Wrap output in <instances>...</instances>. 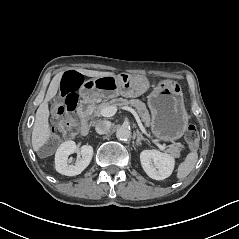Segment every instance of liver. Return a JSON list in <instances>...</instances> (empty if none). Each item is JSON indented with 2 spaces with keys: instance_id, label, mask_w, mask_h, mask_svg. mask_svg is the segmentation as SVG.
Returning a JSON list of instances; mask_svg holds the SVG:
<instances>
[{
  "instance_id": "6515ba94",
  "label": "liver",
  "mask_w": 239,
  "mask_h": 239,
  "mask_svg": "<svg viewBox=\"0 0 239 239\" xmlns=\"http://www.w3.org/2000/svg\"><path fill=\"white\" fill-rule=\"evenodd\" d=\"M78 73L87 77H105L115 76V72L96 71L83 68L75 69ZM65 71H59L51 80L44 101L39 105L35 113L31 143L34 152H38L51 138V129L49 128L50 111L48 101L56 96Z\"/></svg>"
}]
</instances>
